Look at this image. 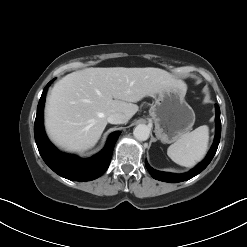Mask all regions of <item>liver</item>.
<instances>
[{"instance_id": "1", "label": "liver", "mask_w": 247, "mask_h": 247, "mask_svg": "<svg viewBox=\"0 0 247 247\" xmlns=\"http://www.w3.org/2000/svg\"><path fill=\"white\" fill-rule=\"evenodd\" d=\"M184 85L165 70L146 68H86L70 73L51 90L45 126L51 140L69 151L92 148L110 114L128 120L138 111L134 103L154 97L167 87Z\"/></svg>"}]
</instances>
